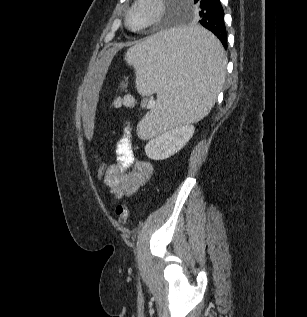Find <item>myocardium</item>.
Wrapping results in <instances>:
<instances>
[{"label":"myocardium","mask_w":307,"mask_h":317,"mask_svg":"<svg viewBox=\"0 0 307 317\" xmlns=\"http://www.w3.org/2000/svg\"><path fill=\"white\" fill-rule=\"evenodd\" d=\"M146 8L148 16L140 23L135 24L133 19L137 11ZM164 0H134L125 15V24L131 31H143L157 23L165 12Z\"/></svg>","instance_id":"1"}]
</instances>
